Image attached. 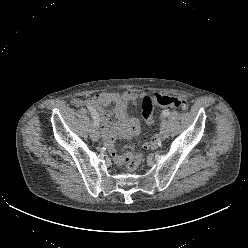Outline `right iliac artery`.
<instances>
[{
  "mask_svg": "<svg viewBox=\"0 0 248 248\" xmlns=\"http://www.w3.org/2000/svg\"><path fill=\"white\" fill-rule=\"evenodd\" d=\"M87 108H88V110L90 111V113L92 115L94 124L98 126L99 115H98L97 111L93 107H91V106H87Z\"/></svg>",
  "mask_w": 248,
  "mask_h": 248,
  "instance_id": "right-iliac-artery-1",
  "label": "right iliac artery"
}]
</instances>
